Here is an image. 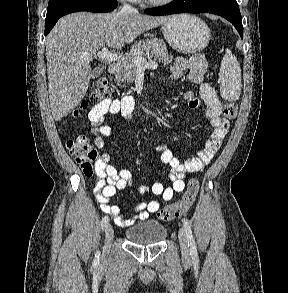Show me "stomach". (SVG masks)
<instances>
[{"label":"stomach","instance_id":"1","mask_svg":"<svg viewBox=\"0 0 288 293\" xmlns=\"http://www.w3.org/2000/svg\"><path fill=\"white\" fill-rule=\"evenodd\" d=\"M162 32L167 43L175 50L197 53L205 49L210 41V29L200 18L179 14L163 23Z\"/></svg>","mask_w":288,"mask_h":293}]
</instances>
